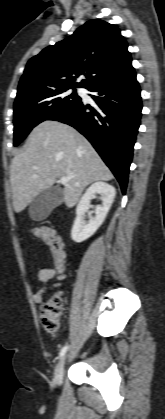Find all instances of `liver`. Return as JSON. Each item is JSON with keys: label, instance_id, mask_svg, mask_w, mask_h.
Returning <instances> with one entry per match:
<instances>
[{"label": "liver", "instance_id": "1", "mask_svg": "<svg viewBox=\"0 0 165 419\" xmlns=\"http://www.w3.org/2000/svg\"><path fill=\"white\" fill-rule=\"evenodd\" d=\"M73 176L63 190L68 208L92 182L113 179V174L90 142L71 126L46 120L30 133L24 150L12 160L10 183L15 212L23 211L58 178Z\"/></svg>", "mask_w": 165, "mask_h": 419}]
</instances>
